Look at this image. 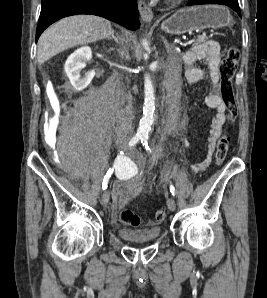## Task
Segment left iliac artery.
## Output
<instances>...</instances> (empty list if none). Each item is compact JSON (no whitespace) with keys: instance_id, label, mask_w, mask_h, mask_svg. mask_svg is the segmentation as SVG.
<instances>
[{"instance_id":"1","label":"left iliac artery","mask_w":267,"mask_h":298,"mask_svg":"<svg viewBox=\"0 0 267 298\" xmlns=\"http://www.w3.org/2000/svg\"><path fill=\"white\" fill-rule=\"evenodd\" d=\"M141 143L143 145V147L146 149V150H150V147H149V144H148V136H143L141 138ZM170 192L171 194L174 196L175 195V188L172 184H170Z\"/></svg>"}]
</instances>
